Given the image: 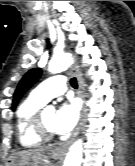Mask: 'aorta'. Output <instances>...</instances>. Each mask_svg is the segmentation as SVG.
I'll list each match as a JSON object with an SVG mask.
<instances>
[{
    "label": "aorta",
    "mask_w": 135,
    "mask_h": 166,
    "mask_svg": "<svg viewBox=\"0 0 135 166\" xmlns=\"http://www.w3.org/2000/svg\"><path fill=\"white\" fill-rule=\"evenodd\" d=\"M72 58L68 54H61L54 56L49 62L48 70L52 74H57L62 71H65L71 64ZM49 109H53L49 107ZM82 151H83V142L82 139L75 141L64 160L63 166H81L82 163Z\"/></svg>",
    "instance_id": "1"
}]
</instances>
